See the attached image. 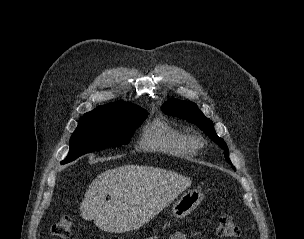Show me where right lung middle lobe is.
<instances>
[{"label":"right lung middle lobe","instance_id":"right-lung-middle-lobe-1","mask_svg":"<svg viewBox=\"0 0 304 239\" xmlns=\"http://www.w3.org/2000/svg\"><path fill=\"white\" fill-rule=\"evenodd\" d=\"M147 116L148 113L142 108H132L113 116H83L71 136L70 150L62 163L96 150L128 144L134 129Z\"/></svg>","mask_w":304,"mask_h":239}]
</instances>
